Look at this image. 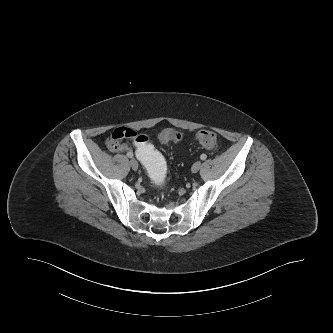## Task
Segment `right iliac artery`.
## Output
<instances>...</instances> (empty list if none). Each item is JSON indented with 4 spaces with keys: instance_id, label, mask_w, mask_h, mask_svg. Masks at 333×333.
<instances>
[{
    "instance_id": "obj_1",
    "label": "right iliac artery",
    "mask_w": 333,
    "mask_h": 333,
    "mask_svg": "<svg viewBox=\"0 0 333 333\" xmlns=\"http://www.w3.org/2000/svg\"><path fill=\"white\" fill-rule=\"evenodd\" d=\"M127 156H128L129 158H132V157H133V153H132V152H128V153H127Z\"/></svg>"
}]
</instances>
